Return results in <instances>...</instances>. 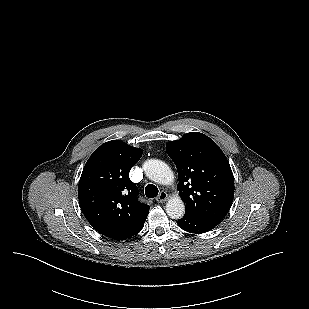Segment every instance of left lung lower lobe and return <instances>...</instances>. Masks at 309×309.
I'll use <instances>...</instances> for the list:
<instances>
[{"label": "left lung lower lobe", "instance_id": "1", "mask_svg": "<svg viewBox=\"0 0 309 309\" xmlns=\"http://www.w3.org/2000/svg\"><path fill=\"white\" fill-rule=\"evenodd\" d=\"M177 224L183 230L196 234L205 233L213 229L215 226H217L215 224L204 221L198 217H193L189 215H184L183 218L177 221Z\"/></svg>", "mask_w": 309, "mask_h": 309}]
</instances>
